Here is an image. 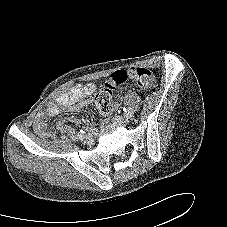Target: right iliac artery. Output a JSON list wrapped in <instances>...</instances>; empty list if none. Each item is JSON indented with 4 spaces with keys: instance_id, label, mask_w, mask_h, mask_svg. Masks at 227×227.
I'll return each instance as SVG.
<instances>
[{
    "instance_id": "right-iliac-artery-1",
    "label": "right iliac artery",
    "mask_w": 227,
    "mask_h": 227,
    "mask_svg": "<svg viewBox=\"0 0 227 227\" xmlns=\"http://www.w3.org/2000/svg\"><path fill=\"white\" fill-rule=\"evenodd\" d=\"M84 136H85V131H83V130H81V131L78 133V135H77V137H78L79 139H82Z\"/></svg>"
}]
</instances>
